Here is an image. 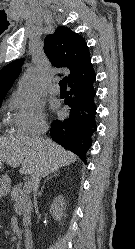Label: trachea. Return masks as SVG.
Segmentation results:
<instances>
[{
    "instance_id": "trachea-1",
    "label": "trachea",
    "mask_w": 135,
    "mask_h": 249,
    "mask_svg": "<svg viewBox=\"0 0 135 249\" xmlns=\"http://www.w3.org/2000/svg\"><path fill=\"white\" fill-rule=\"evenodd\" d=\"M60 88L61 89H66L67 88V78L64 77L60 82H59Z\"/></svg>"
}]
</instances>
